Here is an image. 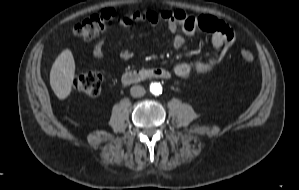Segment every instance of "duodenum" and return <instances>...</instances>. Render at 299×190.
Returning a JSON list of instances; mask_svg holds the SVG:
<instances>
[{"label": "duodenum", "instance_id": "obj_1", "mask_svg": "<svg viewBox=\"0 0 299 190\" xmlns=\"http://www.w3.org/2000/svg\"><path fill=\"white\" fill-rule=\"evenodd\" d=\"M170 77L169 72L164 68H140L129 70L122 76V82L130 85L148 78L167 79Z\"/></svg>", "mask_w": 299, "mask_h": 190}]
</instances>
